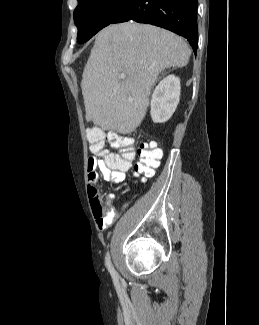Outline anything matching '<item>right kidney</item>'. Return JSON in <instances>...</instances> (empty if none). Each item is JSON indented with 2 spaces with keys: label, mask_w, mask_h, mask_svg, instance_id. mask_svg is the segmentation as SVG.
Instances as JSON below:
<instances>
[{
  "label": "right kidney",
  "mask_w": 259,
  "mask_h": 325,
  "mask_svg": "<svg viewBox=\"0 0 259 325\" xmlns=\"http://www.w3.org/2000/svg\"><path fill=\"white\" fill-rule=\"evenodd\" d=\"M180 89V79L174 75L167 76L156 86L150 105L154 123H164L170 119L179 103Z\"/></svg>",
  "instance_id": "ca27d5eb"
}]
</instances>
